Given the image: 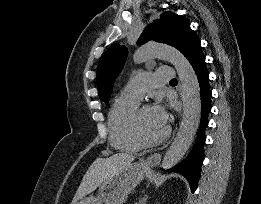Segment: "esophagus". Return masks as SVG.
<instances>
[{"mask_svg":"<svg viewBox=\"0 0 261 204\" xmlns=\"http://www.w3.org/2000/svg\"><path fill=\"white\" fill-rule=\"evenodd\" d=\"M161 160V155L159 153H154L148 156L144 161L141 162V166L145 168L153 167L159 164Z\"/></svg>","mask_w":261,"mask_h":204,"instance_id":"1","label":"esophagus"}]
</instances>
